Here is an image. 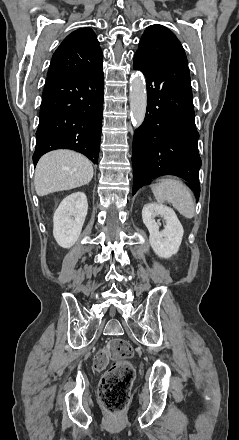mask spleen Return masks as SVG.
I'll return each instance as SVG.
<instances>
[{"label":"spleen","mask_w":239,"mask_h":440,"mask_svg":"<svg viewBox=\"0 0 239 440\" xmlns=\"http://www.w3.org/2000/svg\"><path fill=\"white\" fill-rule=\"evenodd\" d=\"M155 200L159 204L169 202L185 218H193L195 212L192 192L179 180H160L159 184H151Z\"/></svg>","instance_id":"spleen-1"}]
</instances>
